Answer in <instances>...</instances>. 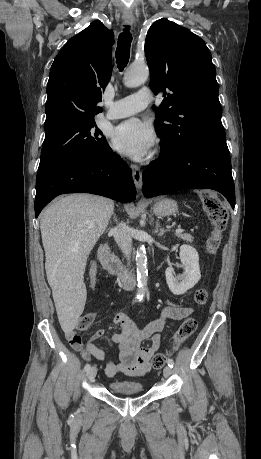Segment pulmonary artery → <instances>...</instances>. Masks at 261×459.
Segmentation results:
<instances>
[{
  "label": "pulmonary artery",
  "mask_w": 261,
  "mask_h": 459,
  "mask_svg": "<svg viewBox=\"0 0 261 459\" xmlns=\"http://www.w3.org/2000/svg\"><path fill=\"white\" fill-rule=\"evenodd\" d=\"M151 102V91L148 88H142L130 96L112 102L106 117L108 119L124 118L140 112Z\"/></svg>",
  "instance_id": "obj_1"
}]
</instances>
